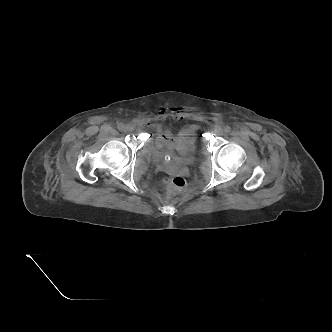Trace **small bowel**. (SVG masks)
Listing matches in <instances>:
<instances>
[{
	"instance_id": "small-bowel-1",
	"label": "small bowel",
	"mask_w": 332,
	"mask_h": 332,
	"mask_svg": "<svg viewBox=\"0 0 332 332\" xmlns=\"http://www.w3.org/2000/svg\"><path fill=\"white\" fill-rule=\"evenodd\" d=\"M159 116L162 118L168 116H172L177 119L184 118L183 113L176 108L164 109L160 112ZM151 128L155 137L156 145L159 148L170 150H176L186 144L194 142L199 130L198 126L189 125L181 129L177 135H174L171 127L167 125L153 123L151 124Z\"/></svg>"
}]
</instances>
